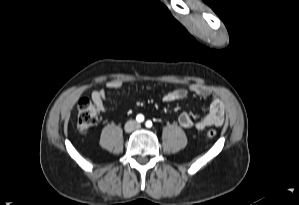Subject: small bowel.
Segmentation results:
<instances>
[{"mask_svg":"<svg viewBox=\"0 0 299 205\" xmlns=\"http://www.w3.org/2000/svg\"><path fill=\"white\" fill-rule=\"evenodd\" d=\"M122 86V81L114 79L105 84V89L94 90L91 98L96 107L106 113L109 111L106 98V90H117ZM189 90L201 97H209L210 105L207 113L200 119L195 120L189 113L183 112L179 116V124L184 128L195 127L198 130H204L210 126H220L224 122V105L222 101L212 94L208 88L200 83L190 85ZM188 95V90L185 88H178L166 93L163 97L165 102H174L183 100Z\"/></svg>","mask_w":299,"mask_h":205,"instance_id":"c3829d8e","label":"small bowel"}]
</instances>
